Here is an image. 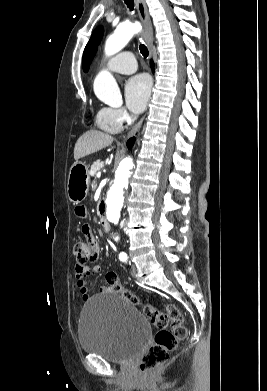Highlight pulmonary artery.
Instances as JSON below:
<instances>
[{
    "label": "pulmonary artery",
    "mask_w": 267,
    "mask_h": 391,
    "mask_svg": "<svg viewBox=\"0 0 267 391\" xmlns=\"http://www.w3.org/2000/svg\"><path fill=\"white\" fill-rule=\"evenodd\" d=\"M107 68L116 73L131 74L137 70V62L133 53L123 51L110 58Z\"/></svg>",
    "instance_id": "obj_1"
}]
</instances>
